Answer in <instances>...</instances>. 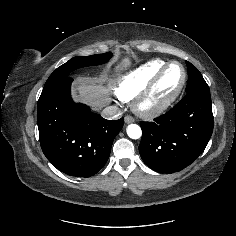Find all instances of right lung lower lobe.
<instances>
[{
    "mask_svg": "<svg viewBox=\"0 0 236 236\" xmlns=\"http://www.w3.org/2000/svg\"><path fill=\"white\" fill-rule=\"evenodd\" d=\"M67 76L45 85L38 100L40 144L47 159L70 176L91 177L107 162L124 118L106 120L70 95Z\"/></svg>",
    "mask_w": 236,
    "mask_h": 236,
    "instance_id": "obj_1",
    "label": "right lung lower lobe"
}]
</instances>
